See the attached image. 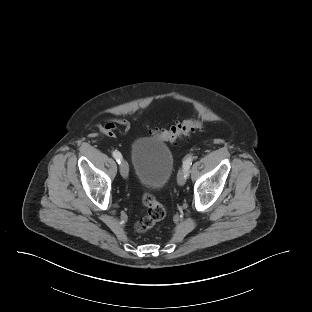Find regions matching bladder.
<instances>
[{
    "mask_svg": "<svg viewBox=\"0 0 312 312\" xmlns=\"http://www.w3.org/2000/svg\"><path fill=\"white\" fill-rule=\"evenodd\" d=\"M131 160L138 183L150 190L162 189L174 168L171 150L164 141L154 137L135 140L131 146Z\"/></svg>",
    "mask_w": 312,
    "mask_h": 312,
    "instance_id": "bladder-1",
    "label": "bladder"
}]
</instances>
